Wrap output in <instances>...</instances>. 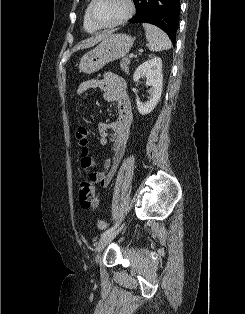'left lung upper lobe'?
Returning a JSON list of instances; mask_svg holds the SVG:
<instances>
[{"instance_id":"left-lung-upper-lobe-1","label":"left lung upper lobe","mask_w":245,"mask_h":314,"mask_svg":"<svg viewBox=\"0 0 245 314\" xmlns=\"http://www.w3.org/2000/svg\"><path fill=\"white\" fill-rule=\"evenodd\" d=\"M134 1V4H135V7H136V12H137V10H138V6H139V1L140 0H133Z\"/></svg>"}]
</instances>
